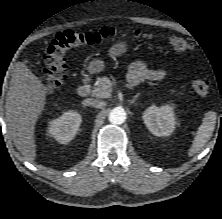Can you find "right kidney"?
<instances>
[{"label":"right kidney","mask_w":222,"mask_h":219,"mask_svg":"<svg viewBox=\"0 0 222 219\" xmlns=\"http://www.w3.org/2000/svg\"><path fill=\"white\" fill-rule=\"evenodd\" d=\"M81 121L82 118L78 112L66 111L60 117L50 121L48 134L59 143H68L78 132Z\"/></svg>","instance_id":"right-kidney-1"}]
</instances>
